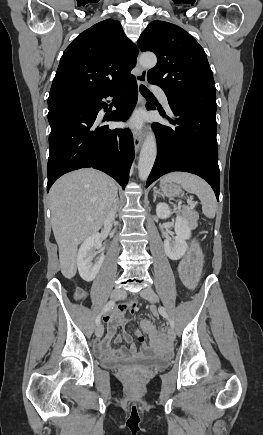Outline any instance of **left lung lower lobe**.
<instances>
[{
    "label": "left lung lower lobe",
    "instance_id": "obj_1",
    "mask_svg": "<svg viewBox=\"0 0 263 435\" xmlns=\"http://www.w3.org/2000/svg\"><path fill=\"white\" fill-rule=\"evenodd\" d=\"M169 105L174 119H168L175 127L159 123L152 125L158 141V154L146 187L164 174L184 171L206 180L219 200L216 111L172 103Z\"/></svg>",
    "mask_w": 263,
    "mask_h": 435
}]
</instances>
